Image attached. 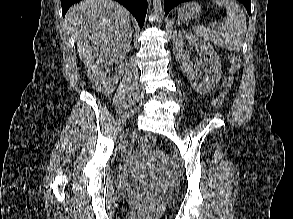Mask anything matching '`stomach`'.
Returning <instances> with one entry per match:
<instances>
[{"label":"stomach","mask_w":293,"mask_h":219,"mask_svg":"<svg viewBox=\"0 0 293 219\" xmlns=\"http://www.w3.org/2000/svg\"><path fill=\"white\" fill-rule=\"evenodd\" d=\"M200 13H201V6L196 2H190L183 5L179 9L178 16L183 20H187L189 18L198 17Z\"/></svg>","instance_id":"obj_1"}]
</instances>
